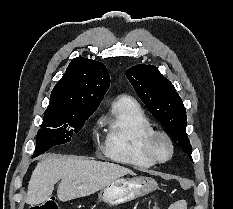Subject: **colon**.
I'll return each mask as SVG.
<instances>
[{"mask_svg": "<svg viewBox=\"0 0 233 209\" xmlns=\"http://www.w3.org/2000/svg\"><path fill=\"white\" fill-rule=\"evenodd\" d=\"M31 209H58V205L54 199L50 198L42 203L33 205ZM154 209H159V208L155 207Z\"/></svg>", "mask_w": 233, "mask_h": 209, "instance_id": "obj_1", "label": "colon"}]
</instances>
